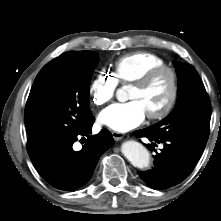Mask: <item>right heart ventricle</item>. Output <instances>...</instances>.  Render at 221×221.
Wrapping results in <instances>:
<instances>
[{
	"instance_id": "1",
	"label": "right heart ventricle",
	"mask_w": 221,
	"mask_h": 221,
	"mask_svg": "<svg viewBox=\"0 0 221 221\" xmlns=\"http://www.w3.org/2000/svg\"><path fill=\"white\" fill-rule=\"evenodd\" d=\"M166 65L164 58L152 52H134L118 58L113 64L117 83H133L147 71Z\"/></svg>"
}]
</instances>
